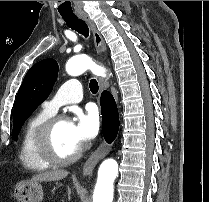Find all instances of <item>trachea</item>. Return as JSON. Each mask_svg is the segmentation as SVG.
<instances>
[{"label":"trachea","mask_w":209,"mask_h":202,"mask_svg":"<svg viewBox=\"0 0 209 202\" xmlns=\"http://www.w3.org/2000/svg\"><path fill=\"white\" fill-rule=\"evenodd\" d=\"M64 21L66 22L67 26L71 29L77 31L81 35L88 37L89 35V28L86 22L76 15H61ZM89 88L92 94H96L98 92V82L96 79H91L89 83Z\"/></svg>","instance_id":"trachea-1"}]
</instances>
